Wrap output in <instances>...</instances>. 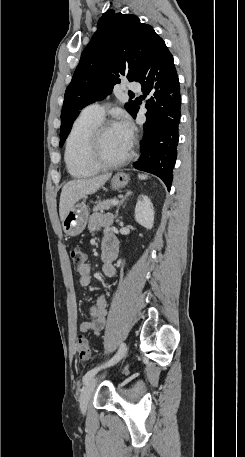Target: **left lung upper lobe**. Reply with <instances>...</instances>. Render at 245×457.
I'll list each match as a JSON object with an SVG mask.
<instances>
[{
	"mask_svg": "<svg viewBox=\"0 0 245 457\" xmlns=\"http://www.w3.org/2000/svg\"><path fill=\"white\" fill-rule=\"evenodd\" d=\"M163 42L152 26L133 14L111 10L98 21L97 31L84 49L72 81L66 89L61 113L60 146L79 110L110 94L120 77L137 81L155 47ZM135 101L125 105L130 113Z\"/></svg>",
	"mask_w": 245,
	"mask_h": 457,
	"instance_id": "5c2ea615",
	"label": "left lung upper lobe"
}]
</instances>
